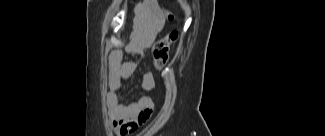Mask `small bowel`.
<instances>
[{
	"label": "small bowel",
	"mask_w": 325,
	"mask_h": 136,
	"mask_svg": "<svg viewBox=\"0 0 325 136\" xmlns=\"http://www.w3.org/2000/svg\"><path fill=\"white\" fill-rule=\"evenodd\" d=\"M161 25L156 23L151 27L145 37L144 45L151 43ZM121 52H112L109 56V88L106 94L107 107L110 112V119L113 130L118 135H125V132H135L139 126L146 123L153 111L152 98L148 94L142 95L138 100L122 105L119 99V89L123 79L130 76L135 69V62L122 61ZM155 82L151 73L147 72L141 80V88L144 92H150Z\"/></svg>",
	"instance_id": "c3829d8e"
}]
</instances>
